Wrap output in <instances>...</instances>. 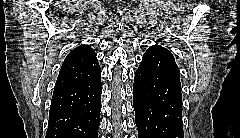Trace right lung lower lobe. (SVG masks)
Returning a JSON list of instances; mask_svg holds the SVG:
<instances>
[{
    "label": "right lung lower lobe",
    "instance_id": "98d812e1",
    "mask_svg": "<svg viewBox=\"0 0 240 138\" xmlns=\"http://www.w3.org/2000/svg\"><path fill=\"white\" fill-rule=\"evenodd\" d=\"M101 75L81 85L55 91L46 138H98Z\"/></svg>",
    "mask_w": 240,
    "mask_h": 138
}]
</instances>
